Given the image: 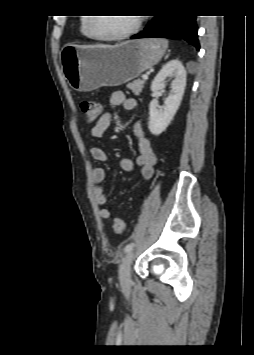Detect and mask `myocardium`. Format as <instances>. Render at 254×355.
I'll use <instances>...</instances> for the list:
<instances>
[{
  "label": "myocardium",
  "instance_id": "f54148a6",
  "mask_svg": "<svg viewBox=\"0 0 254 355\" xmlns=\"http://www.w3.org/2000/svg\"><path fill=\"white\" fill-rule=\"evenodd\" d=\"M92 16H95V15H92ZM96 20H97L96 17H89L88 22H87V28H88V31H89L91 37L95 40H98V41H121V40L128 39L139 30L141 23H142V18L140 17V15H135L134 23L127 31H125L121 34H118V35L104 36V35L99 34L96 31V27H95Z\"/></svg>",
  "mask_w": 254,
  "mask_h": 355
}]
</instances>
